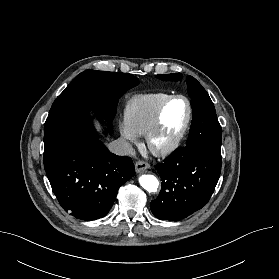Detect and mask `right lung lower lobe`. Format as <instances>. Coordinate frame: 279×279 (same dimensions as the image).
Segmentation results:
<instances>
[{
  "label": "right lung lower lobe",
  "instance_id": "1",
  "mask_svg": "<svg viewBox=\"0 0 279 279\" xmlns=\"http://www.w3.org/2000/svg\"><path fill=\"white\" fill-rule=\"evenodd\" d=\"M96 136L88 122L46 170L62 208L85 221L106 216L120 186L135 174L130 157L110 153Z\"/></svg>",
  "mask_w": 279,
  "mask_h": 279
}]
</instances>
